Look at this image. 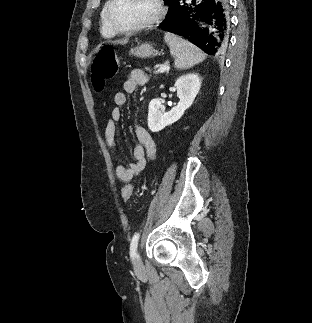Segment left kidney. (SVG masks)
I'll list each match as a JSON object with an SVG mask.
<instances>
[{
	"instance_id": "left-kidney-1",
	"label": "left kidney",
	"mask_w": 312,
	"mask_h": 323,
	"mask_svg": "<svg viewBox=\"0 0 312 323\" xmlns=\"http://www.w3.org/2000/svg\"><path fill=\"white\" fill-rule=\"evenodd\" d=\"M179 102L170 112H165L160 100H151L148 108V128L160 132L182 118L185 110L192 106L201 86L198 74H186L175 82Z\"/></svg>"
}]
</instances>
